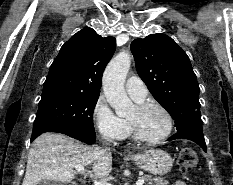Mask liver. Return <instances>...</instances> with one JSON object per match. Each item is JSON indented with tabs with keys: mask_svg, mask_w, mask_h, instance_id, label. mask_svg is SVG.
<instances>
[{
	"mask_svg": "<svg viewBox=\"0 0 233 185\" xmlns=\"http://www.w3.org/2000/svg\"><path fill=\"white\" fill-rule=\"evenodd\" d=\"M93 164L96 178H106L112 169L108 149L89 147L59 133H44L32 144L22 185H37L42 180L71 182L77 165Z\"/></svg>",
	"mask_w": 233,
	"mask_h": 185,
	"instance_id": "liver-1",
	"label": "liver"
}]
</instances>
